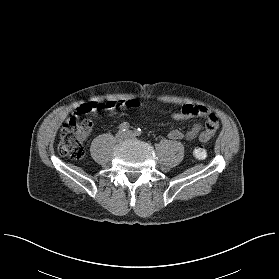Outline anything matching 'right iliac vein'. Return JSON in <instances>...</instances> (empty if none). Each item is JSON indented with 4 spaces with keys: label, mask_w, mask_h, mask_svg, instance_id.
Masks as SVG:
<instances>
[{
    "label": "right iliac vein",
    "mask_w": 279,
    "mask_h": 279,
    "mask_svg": "<svg viewBox=\"0 0 279 279\" xmlns=\"http://www.w3.org/2000/svg\"><path fill=\"white\" fill-rule=\"evenodd\" d=\"M125 138H126L125 134L122 133L121 131H119V132L115 135V140H116L117 143H121Z\"/></svg>",
    "instance_id": "right-iliac-vein-1"
}]
</instances>
